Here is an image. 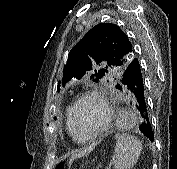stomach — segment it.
I'll use <instances>...</instances> for the list:
<instances>
[{
  "instance_id": "0dacf381",
  "label": "stomach",
  "mask_w": 177,
  "mask_h": 169,
  "mask_svg": "<svg viewBox=\"0 0 177 169\" xmlns=\"http://www.w3.org/2000/svg\"><path fill=\"white\" fill-rule=\"evenodd\" d=\"M55 169H66V165L63 162H57L55 165Z\"/></svg>"
}]
</instances>
